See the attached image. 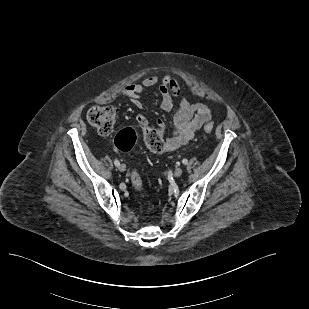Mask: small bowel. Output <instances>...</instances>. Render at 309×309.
<instances>
[{
  "label": "small bowel",
  "mask_w": 309,
  "mask_h": 309,
  "mask_svg": "<svg viewBox=\"0 0 309 309\" xmlns=\"http://www.w3.org/2000/svg\"><path fill=\"white\" fill-rule=\"evenodd\" d=\"M156 85H159L161 93V109L170 111L174 107V101L178 100V109L173 117L171 136L163 140L162 151H173L193 139L195 133L211 120V109L204 103L191 104L181 95L180 82L177 78L165 74L162 77L150 75L139 83L127 85L122 94L131 100L137 108H142L141 94ZM137 122L142 127H147L148 121L143 114L137 116ZM161 133L167 131L166 125L158 120Z\"/></svg>",
  "instance_id": "1"
}]
</instances>
